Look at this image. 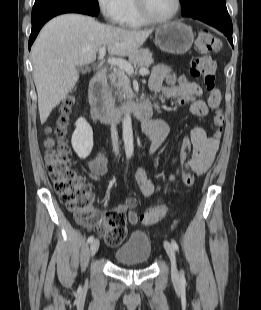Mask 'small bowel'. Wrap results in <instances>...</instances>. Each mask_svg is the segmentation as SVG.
<instances>
[{
    "instance_id": "c3829d8e",
    "label": "small bowel",
    "mask_w": 261,
    "mask_h": 310,
    "mask_svg": "<svg viewBox=\"0 0 261 310\" xmlns=\"http://www.w3.org/2000/svg\"><path fill=\"white\" fill-rule=\"evenodd\" d=\"M171 76L169 67L165 65L158 66L153 73L150 87L153 91L162 94L166 98L175 100L179 104H189L190 110L197 116H205L208 113V106L202 100L201 87L191 81L180 80L177 83L165 85L164 82ZM148 130L142 126L143 132L146 134L149 143L150 153L157 151L164 143L169 133L167 124L161 120H150L147 125ZM191 144L192 152L189 160L182 166V171H190L191 173L202 174L212 164L219 148V138L207 136L205 130L201 127H194L190 132V137H186ZM89 176L93 179H99L107 172V159L105 155L98 154L86 163ZM180 170L175 175L168 178V182L174 184ZM135 181L140 192L145 196H151L159 190V186L153 183L143 169H138L135 175ZM137 205V200L130 198L124 203L115 207L116 212L127 215L128 221L132 225L138 223V216L133 210ZM106 214V213H105ZM104 214V215H105Z\"/></svg>"
}]
</instances>
